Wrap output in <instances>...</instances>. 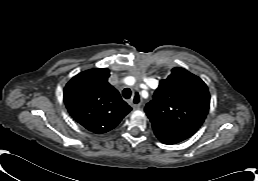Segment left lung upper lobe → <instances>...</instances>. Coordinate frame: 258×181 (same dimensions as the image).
Here are the masks:
<instances>
[{
    "instance_id": "5c2ea615",
    "label": "left lung upper lobe",
    "mask_w": 258,
    "mask_h": 181,
    "mask_svg": "<svg viewBox=\"0 0 258 181\" xmlns=\"http://www.w3.org/2000/svg\"><path fill=\"white\" fill-rule=\"evenodd\" d=\"M210 104L206 84L183 68L161 80L145 112L154 131L187 139L202 125Z\"/></svg>"
}]
</instances>
